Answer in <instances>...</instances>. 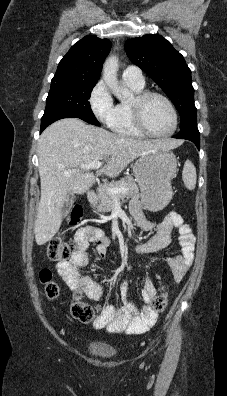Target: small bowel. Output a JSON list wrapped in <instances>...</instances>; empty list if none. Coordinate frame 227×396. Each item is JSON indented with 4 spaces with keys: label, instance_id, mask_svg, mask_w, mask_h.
I'll list each match as a JSON object with an SVG mask.
<instances>
[{
    "label": "small bowel",
    "instance_id": "small-bowel-1",
    "mask_svg": "<svg viewBox=\"0 0 227 396\" xmlns=\"http://www.w3.org/2000/svg\"><path fill=\"white\" fill-rule=\"evenodd\" d=\"M130 212L136 224L144 231H154V234L145 242L137 246L138 252H150L166 248L171 242L172 230L179 233V254L167 261L169 270L175 281H180L194 261L196 238L192 229L184 223L183 218L176 212H170L160 223L146 219L141 205L134 200L130 204ZM77 250L68 260L59 261L56 269L66 285L72 291L83 289L85 295L93 300L101 299L105 294V279L100 273L96 275L87 271L89 243H96V252L103 257L109 245V240L103 237L96 227L85 226L75 234ZM98 271V266L95 267ZM156 295V288L151 278H147L140 290L141 306H136L128 299V287L124 281L121 285L123 306H106L93 322L96 329H106L110 333L122 330L129 334H142L151 328L157 321L158 314L150 303Z\"/></svg>",
    "mask_w": 227,
    "mask_h": 396
}]
</instances>
